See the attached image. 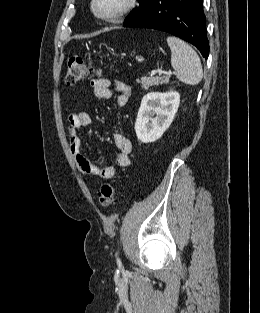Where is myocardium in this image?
<instances>
[{"label":"myocardium","mask_w":260,"mask_h":313,"mask_svg":"<svg viewBox=\"0 0 260 313\" xmlns=\"http://www.w3.org/2000/svg\"><path fill=\"white\" fill-rule=\"evenodd\" d=\"M137 5V0H127L125 6L114 14H102L97 9V0L91 1V9L93 14L100 20L105 22H115L125 17L133 11Z\"/></svg>","instance_id":"obj_1"}]
</instances>
